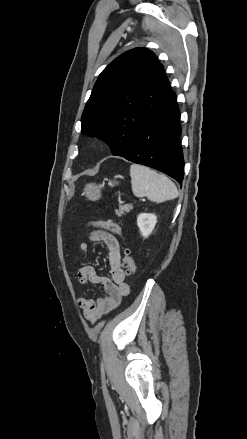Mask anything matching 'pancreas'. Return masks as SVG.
<instances>
[{
  "label": "pancreas",
  "instance_id": "pancreas-1",
  "mask_svg": "<svg viewBox=\"0 0 247 439\" xmlns=\"http://www.w3.org/2000/svg\"><path fill=\"white\" fill-rule=\"evenodd\" d=\"M133 209V206L131 204L126 205H120L119 210L116 211V215L118 217H121L123 214L130 212V210Z\"/></svg>",
  "mask_w": 247,
  "mask_h": 439
}]
</instances>
